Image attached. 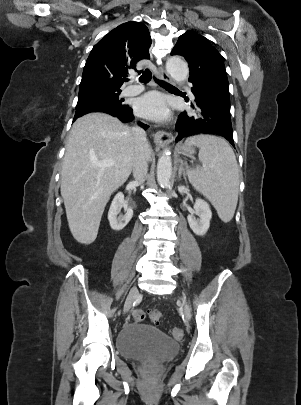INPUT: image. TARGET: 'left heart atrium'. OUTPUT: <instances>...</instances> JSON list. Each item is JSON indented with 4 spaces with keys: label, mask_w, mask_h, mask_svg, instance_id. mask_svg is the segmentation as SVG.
<instances>
[{
    "label": "left heart atrium",
    "mask_w": 301,
    "mask_h": 405,
    "mask_svg": "<svg viewBox=\"0 0 301 405\" xmlns=\"http://www.w3.org/2000/svg\"><path fill=\"white\" fill-rule=\"evenodd\" d=\"M135 111L141 117L156 121L166 119L170 113L166 98L157 92L140 97L135 103Z\"/></svg>",
    "instance_id": "39dd6f15"
}]
</instances>
